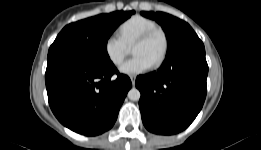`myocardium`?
<instances>
[{"mask_svg":"<svg viewBox=\"0 0 261 150\" xmlns=\"http://www.w3.org/2000/svg\"><path fill=\"white\" fill-rule=\"evenodd\" d=\"M157 34H160L163 38V49L158 59L152 64V66L155 68L159 67L165 61L168 54L169 38L166 31L161 27L152 28L147 32H145L144 34H142L140 37H138L132 45L133 48L135 45L146 43Z\"/></svg>","mask_w":261,"mask_h":150,"instance_id":"f54148a6","label":"myocardium"}]
</instances>
